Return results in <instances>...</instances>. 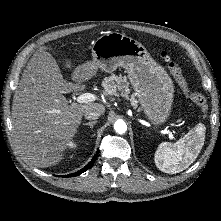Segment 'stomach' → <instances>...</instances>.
<instances>
[{"instance_id": "1", "label": "stomach", "mask_w": 221, "mask_h": 221, "mask_svg": "<svg viewBox=\"0 0 221 221\" xmlns=\"http://www.w3.org/2000/svg\"><path fill=\"white\" fill-rule=\"evenodd\" d=\"M91 51L92 61L76 69L78 77L90 78L97 69L111 73L118 67L124 68L145 115L155 124L166 122L172 109L174 85L167 71L140 42L123 33L110 32L100 36Z\"/></svg>"}]
</instances>
